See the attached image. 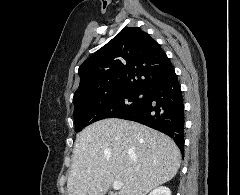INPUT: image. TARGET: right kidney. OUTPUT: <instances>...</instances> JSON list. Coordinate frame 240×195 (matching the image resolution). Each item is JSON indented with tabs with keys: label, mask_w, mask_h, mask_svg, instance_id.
<instances>
[{
	"label": "right kidney",
	"mask_w": 240,
	"mask_h": 195,
	"mask_svg": "<svg viewBox=\"0 0 240 195\" xmlns=\"http://www.w3.org/2000/svg\"><path fill=\"white\" fill-rule=\"evenodd\" d=\"M148 195H171V191L166 185H160V187H156V189L150 191Z\"/></svg>",
	"instance_id": "obj_1"
}]
</instances>
